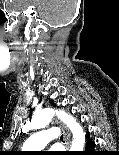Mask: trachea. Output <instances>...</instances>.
Segmentation results:
<instances>
[{
    "label": "trachea",
    "mask_w": 119,
    "mask_h": 155,
    "mask_svg": "<svg viewBox=\"0 0 119 155\" xmlns=\"http://www.w3.org/2000/svg\"><path fill=\"white\" fill-rule=\"evenodd\" d=\"M60 140L63 141V135L60 137Z\"/></svg>",
    "instance_id": "1"
}]
</instances>
